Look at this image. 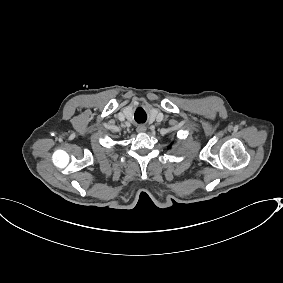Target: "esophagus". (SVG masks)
<instances>
[{
    "instance_id": "esophagus-1",
    "label": "esophagus",
    "mask_w": 283,
    "mask_h": 283,
    "mask_svg": "<svg viewBox=\"0 0 283 283\" xmlns=\"http://www.w3.org/2000/svg\"><path fill=\"white\" fill-rule=\"evenodd\" d=\"M136 131H137L138 133H143V132L146 131V126L143 125V124H141V125H139V126L137 127Z\"/></svg>"
}]
</instances>
